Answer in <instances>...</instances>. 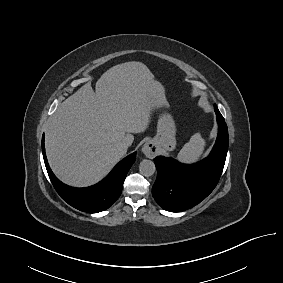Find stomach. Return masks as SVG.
<instances>
[{"label": "stomach", "instance_id": "0dacf381", "mask_svg": "<svg viewBox=\"0 0 283 283\" xmlns=\"http://www.w3.org/2000/svg\"><path fill=\"white\" fill-rule=\"evenodd\" d=\"M164 96V88L161 86ZM176 124L173 117L163 113L158 119L157 134L150 140L159 150L173 151L176 148Z\"/></svg>", "mask_w": 283, "mask_h": 283}]
</instances>
